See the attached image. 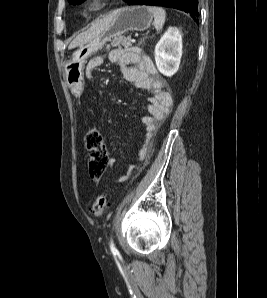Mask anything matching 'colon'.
Returning <instances> with one entry per match:
<instances>
[{
  "mask_svg": "<svg viewBox=\"0 0 267 298\" xmlns=\"http://www.w3.org/2000/svg\"><path fill=\"white\" fill-rule=\"evenodd\" d=\"M86 148L88 151V165L90 177L98 182L109 162L108 152L103 142L102 136L96 126H92L85 137ZM107 208V200L104 195H99L92 206V212L95 216H102Z\"/></svg>",
  "mask_w": 267,
  "mask_h": 298,
  "instance_id": "1",
  "label": "colon"
}]
</instances>
